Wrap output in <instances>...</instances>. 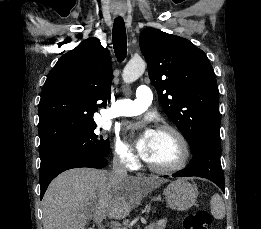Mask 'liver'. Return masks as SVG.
<instances>
[{"mask_svg":"<svg viewBox=\"0 0 261 229\" xmlns=\"http://www.w3.org/2000/svg\"><path fill=\"white\" fill-rule=\"evenodd\" d=\"M166 183L152 177H116L109 171L70 169L50 183L42 201L44 229H85L89 221L125 219L146 195Z\"/></svg>","mask_w":261,"mask_h":229,"instance_id":"liver-1","label":"liver"}]
</instances>
